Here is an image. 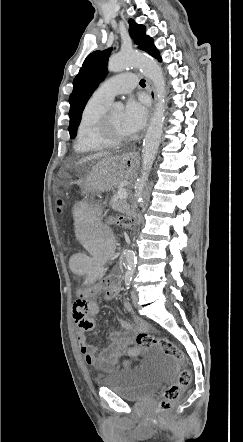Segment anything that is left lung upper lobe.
<instances>
[{"mask_svg": "<svg viewBox=\"0 0 243 442\" xmlns=\"http://www.w3.org/2000/svg\"><path fill=\"white\" fill-rule=\"evenodd\" d=\"M129 25V33L135 44H137L141 50L151 54L155 46L153 39L146 35L145 27L137 24L132 19L129 20ZM110 52L111 49H107L103 51L97 50L89 54L73 81V92L69 98V133L72 139L76 136V130L81 121L82 112L88 99L107 73V61Z\"/></svg>", "mask_w": 243, "mask_h": 442, "instance_id": "5c2ea615", "label": "left lung upper lobe"}]
</instances>
